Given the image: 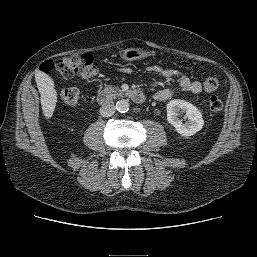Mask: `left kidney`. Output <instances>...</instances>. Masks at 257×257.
Masks as SVG:
<instances>
[{"instance_id":"left-kidney-1","label":"left kidney","mask_w":257,"mask_h":257,"mask_svg":"<svg viewBox=\"0 0 257 257\" xmlns=\"http://www.w3.org/2000/svg\"><path fill=\"white\" fill-rule=\"evenodd\" d=\"M167 120L182 136L188 137L196 134L204 126L201 112L190 102L174 99L167 103ZM180 113H185L188 120L183 123L178 118Z\"/></svg>"}]
</instances>
